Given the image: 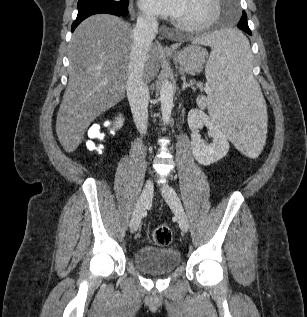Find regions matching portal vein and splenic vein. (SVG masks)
Here are the masks:
<instances>
[{"label":"portal vein and splenic vein","mask_w":307,"mask_h":317,"mask_svg":"<svg viewBox=\"0 0 307 317\" xmlns=\"http://www.w3.org/2000/svg\"><path fill=\"white\" fill-rule=\"evenodd\" d=\"M204 91H205L206 93H211V88H210L209 86H205V87H204Z\"/></svg>","instance_id":"1"}]
</instances>
